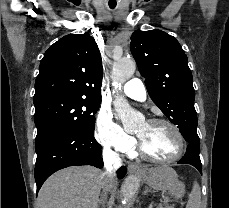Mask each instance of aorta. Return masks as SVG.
Listing matches in <instances>:
<instances>
[{
	"mask_svg": "<svg viewBox=\"0 0 229 208\" xmlns=\"http://www.w3.org/2000/svg\"><path fill=\"white\" fill-rule=\"evenodd\" d=\"M136 70V64L131 59H121L113 64L112 85L115 90H121V85L132 77ZM114 108L126 129L134 128L143 119L141 113L137 112L127 102L124 96L116 95ZM140 181L135 175L127 177L122 185V204L129 207L138 193Z\"/></svg>",
	"mask_w": 229,
	"mask_h": 208,
	"instance_id": "1",
	"label": "aorta"
}]
</instances>
